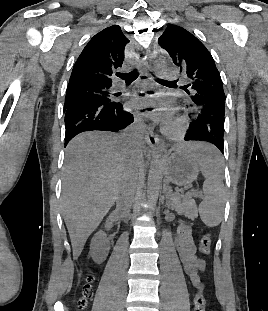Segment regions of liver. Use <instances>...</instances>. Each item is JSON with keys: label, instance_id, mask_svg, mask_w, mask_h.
<instances>
[{"label": "liver", "instance_id": "6515ba94", "mask_svg": "<svg viewBox=\"0 0 268 311\" xmlns=\"http://www.w3.org/2000/svg\"><path fill=\"white\" fill-rule=\"evenodd\" d=\"M135 160L134 148L123 135L86 132L68 144L61 201L74 260L117 200Z\"/></svg>", "mask_w": 268, "mask_h": 311}]
</instances>
